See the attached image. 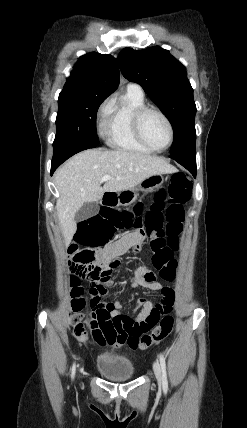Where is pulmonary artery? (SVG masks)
I'll list each match as a JSON object with an SVG mask.
<instances>
[{
	"label": "pulmonary artery",
	"mask_w": 247,
	"mask_h": 428,
	"mask_svg": "<svg viewBox=\"0 0 247 428\" xmlns=\"http://www.w3.org/2000/svg\"><path fill=\"white\" fill-rule=\"evenodd\" d=\"M128 86L137 87V88L141 89L140 86L137 84H129Z\"/></svg>",
	"instance_id": "1"
}]
</instances>
